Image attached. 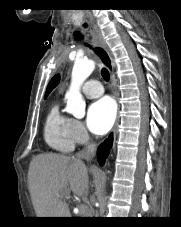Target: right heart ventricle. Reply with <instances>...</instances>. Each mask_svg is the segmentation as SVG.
I'll use <instances>...</instances> for the list:
<instances>
[{
	"instance_id": "1",
	"label": "right heart ventricle",
	"mask_w": 181,
	"mask_h": 227,
	"mask_svg": "<svg viewBox=\"0 0 181 227\" xmlns=\"http://www.w3.org/2000/svg\"><path fill=\"white\" fill-rule=\"evenodd\" d=\"M70 121L60 111L58 103L51 106L44 124V138L50 148L62 153L73 151L75 143L70 134Z\"/></svg>"
}]
</instances>
